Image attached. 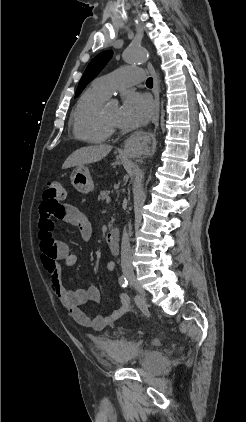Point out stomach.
<instances>
[{
	"mask_svg": "<svg viewBox=\"0 0 246 422\" xmlns=\"http://www.w3.org/2000/svg\"><path fill=\"white\" fill-rule=\"evenodd\" d=\"M71 184L80 193L87 194L94 189V184L89 172L85 166L77 167L70 176Z\"/></svg>",
	"mask_w": 246,
	"mask_h": 422,
	"instance_id": "1",
	"label": "stomach"
}]
</instances>
